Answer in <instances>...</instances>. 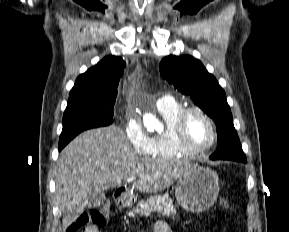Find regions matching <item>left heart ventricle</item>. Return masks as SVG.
Segmentation results:
<instances>
[{"mask_svg": "<svg viewBox=\"0 0 289 232\" xmlns=\"http://www.w3.org/2000/svg\"><path fill=\"white\" fill-rule=\"evenodd\" d=\"M186 136L191 144L202 146L211 140L212 132L209 124L201 115L192 113L186 122Z\"/></svg>", "mask_w": 289, "mask_h": 232, "instance_id": "1", "label": "left heart ventricle"}]
</instances>
